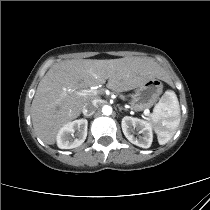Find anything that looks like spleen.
I'll return each instance as SVG.
<instances>
[{
  "mask_svg": "<svg viewBox=\"0 0 210 210\" xmlns=\"http://www.w3.org/2000/svg\"><path fill=\"white\" fill-rule=\"evenodd\" d=\"M180 123V106L174 91L167 90L154 107L150 124L160 145L166 144Z\"/></svg>",
  "mask_w": 210,
  "mask_h": 210,
  "instance_id": "1",
  "label": "spleen"
}]
</instances>
